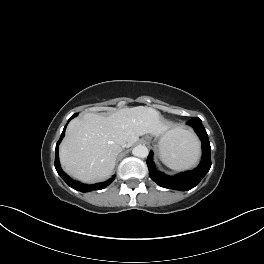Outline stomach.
<instances>
[{"label":"stomach","mask_w":264,"mask_h":264,"mask_svg":"<svg viewBox=\"0 0 264 264\" xmlns=\"http://www.w3.org/2000/svg\"><path fill=\"white\" fill-rule=\"evenodd\" d=\"M146 139H150V137H146ZM170 141V139L168 140L166 137H161L160 141H159V149H160V146L163 145V144H168Z\"/></svg>","instance_id":"0dacf381"}]
</instances>
